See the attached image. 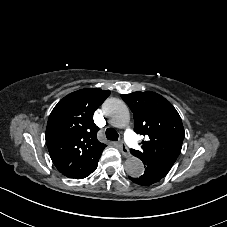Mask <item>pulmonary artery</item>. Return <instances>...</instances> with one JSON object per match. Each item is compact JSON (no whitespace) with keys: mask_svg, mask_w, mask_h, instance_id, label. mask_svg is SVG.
<instances>
[{"mask_svg":"<svg viewBox=\"0 0 227 227\" xmlns=\"http://www.w3.org/2000/svg\"><path fill=\"white\" fill-rule=\"evenodd\" d=\"M124 139L129 148L134 149L137 147V145H138V142L136 140L137 136L133 130H131V129L126 130L124 133Z\"/></svg>","mask_w":227,"mask_h":227,"instance_id":"e3ab8cb5","label":"pulmonary artery"}]
</instances>
